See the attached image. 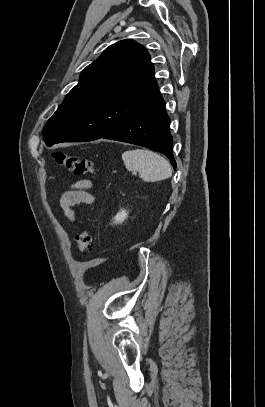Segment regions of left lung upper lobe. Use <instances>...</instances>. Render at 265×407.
<instances>
[{
	"mask_svg": "<svg viewBox=\"0 0 265 407\" xmlns=\"http://www.w3.org/2000/svg\"><path fill=\"white\" fill-rule=\"evenodd\" d=\"M148 52L132 40L109 46L88 65L43 129L47 146L104 137L162 97Z\"/></svg>",
	"mask_w": 265,
	"mask_h": 407,
	"instance_id": "1",
	"label": "left lung upper lobe"
}]
</instances>
